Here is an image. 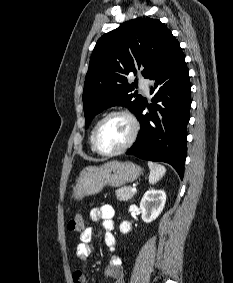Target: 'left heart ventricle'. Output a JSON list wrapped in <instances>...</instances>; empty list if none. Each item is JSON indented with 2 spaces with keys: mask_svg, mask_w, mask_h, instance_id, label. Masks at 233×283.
Wrapping results in <instances>:
<instances>
[{
  "mask_svg": "<svg viewBox=\"0 0 233 283\" xmlns=\"http://www.w3.org/2000/svg\"><path fill=\"white\" fill-rule=\"evenodd\" d=\"M130 134L129 120L124 116H113L100 128L97 144L102 151H115L128 141Z\"/></svg>",
  "mask_w": 233,
  "mask_h": 283,
  "instance_id": "1",
  "label": "left heart ventricle"
}]
</instances>
